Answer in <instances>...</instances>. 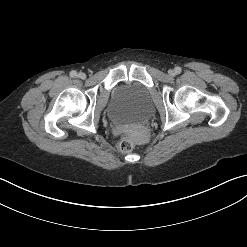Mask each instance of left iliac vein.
Masks as SVG:
<instances>
[{
  "label": "left iliac vein",
  "mask_w": 247,
  "mask_h": 247,
  "mask_svg": "<svg viewBox=\"0 0 247 247\" xmlns=\"http://www.w3.org/2000/svg\"><path fill=\"white\" fill-rule=\"evenodd\" d=\"M170 75H174V72L173 71H170Z\"/></svg>",
  "instance_id": "4c4485c4"
}]
</instances>
